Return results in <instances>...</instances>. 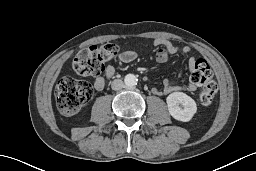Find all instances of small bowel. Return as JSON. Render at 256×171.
<instances>
[{"label": "small bowel", "instance_id": "small-bowel-1", "mask_svg": "<svg viewBox=\"0 0 256 171\" xmlns=\"http://www.w3.org/2000/svg\"><path fill=\"white\" fill-rule=\"evenodd\" d=\"M154 45L158 47L156 53V60L158 63L164 64L168 62L171 55L176 53H182L185 55L192 54V48L189 46H177L164 38H158L154 40ZM136 58L134 51H126L119 56V60L123 63H130ZM195 63L194 57H190L189 66L193 67ZM115 75V68L112 65H108L104 69L102 76H97L93 82L95 90L101 91L104 89L107 80L111 79ZM195 86L193 84L178 85L169 80L165 81L161 88L152 87L151 91L155 95L169 94L175 91L193 92Z\"/></svg>", "mask_w": 256, "mask_h": 171}]
</instances>
